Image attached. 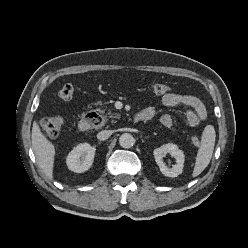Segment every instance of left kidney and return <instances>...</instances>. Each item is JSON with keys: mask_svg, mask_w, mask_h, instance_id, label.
<instances>
[{"mask_svg": "<svg viewBox=\"0 0 248 248\" xmlns=\"http://www.w3.org/2000/svg\"><path fill=\"white\" fill-rule=\"evenodd\" d=\"M170 154L176 161L172 168L166 166L163 162V157ZM153 155L160 171L167 177H177L183 172L184 154L179 150L178 146L172 143L164 144L159 148L154 149Z\"/></svg>", "mask_w": 248, "mask_h": 248, "instance_id": "5707ae66", "label": "left kidney"}]
</instances>
